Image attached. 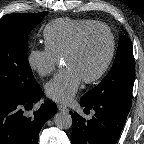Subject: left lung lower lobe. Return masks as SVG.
<instances>
[{
  "mask_svg": "<svg viewBox=\"0 0 144 144\" xmlns=\"http://www.w3.org/2000/svg\"><path fill=\"white\" fill-rule=\"evenodd\" d=\"M85 109H94L91 120L86 121L78 113L72 114L73 131L72 144H116L131 105L103 99L94 103H85L80 100Z\"/></svg>",
  "mask_w": 144,
  "mask_h": 144,
  "instance_id": "left-lung-lower-lobe-1",
  "label": "left lung lower lobe"
}]
</instances>
